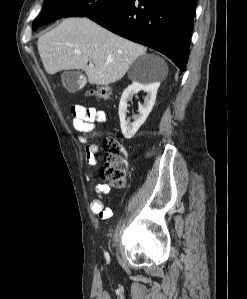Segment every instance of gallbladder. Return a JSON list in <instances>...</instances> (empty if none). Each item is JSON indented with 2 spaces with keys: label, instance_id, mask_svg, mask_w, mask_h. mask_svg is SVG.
<instances>
[{
  "label": "gallbladder",
  "instance_id": "gallbladder-1",
  "mask_svg": "<svg viewBox=\"0 0 247 299\" xmlns=\"http://www.w3.org/2000/svg\"><path fill=\"white\" fill-rule=\"evenodd\" d=\"M61 81L64 88L70 93L80 90L86 84V79L82 72L74 70L64 71L61 74Z\"/></svg>",
  "mask_w": 247,
  "mask_h": 299
}]
</instances>
